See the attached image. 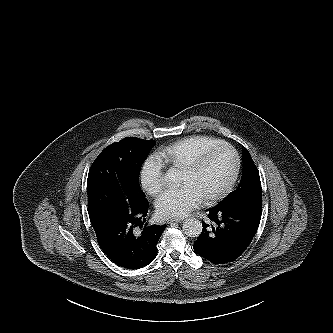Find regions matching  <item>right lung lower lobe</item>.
<instances>
[{
    "label": "right lung lower lobe",
    "instance_id": "98d812e1",
    "mask_svg": "<svg viewBox=\"0 0 333 333\" xmlns=\"http://www.w3.org/2000/svg\"><path fill=\"white\" fill-rule=\"evenodd\" d=\"M148 207L147 204L129 214H108L91 221L99 246L115 264L138 269L157 256L156 245L166 225H150L136 233L143 226Z\"/></svg>",
    "mask_w": 333,
    "mask_h": 333
}]
</instances>
